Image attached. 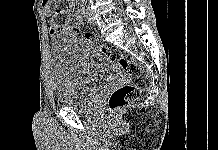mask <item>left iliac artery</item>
I'll return each mask as SVG.
<instances>
[{
    "label": "left iliac artery",
    "instance_id": "obj_1",
    "mask_svg": "<svg viewBox=\"0 0 218 150\" xmlns=\"http://www.w3.org/2000/svg\"><path fill=\"white\" fill-rule=\"evenodd\" d=\"M84 4H85V0H81L80 10H79V17L80 18H85Z\"/></svg>",
    "mask_w": 218,
    "mask_h": 150
}]
</instances>
